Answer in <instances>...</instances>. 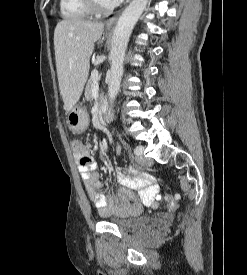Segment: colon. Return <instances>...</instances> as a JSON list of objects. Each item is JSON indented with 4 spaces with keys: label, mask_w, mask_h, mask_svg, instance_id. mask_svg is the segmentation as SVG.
<instances>
[{
    "label": "colon",
    "mask_w": 247,
    "mask_h": 275,
    "mask_svg": "<svg viewBox=\"0 0 247 275\" xmlns=\"http://www.w3.org/2000/svg\"><path fill=\"white\" fill-rule=\"evenodd\" d=\"M71 147L75 154H77L79 157H81L82 160L85 159L86 149H85L84 144L81 141L73 140L71 142ZM120 194L122 196L128 198L129 200L136 199L135 193L130 188L122 187L120 189ZM164 201L170 210H176L179 206V195L178 194H165Z\"/></svg>",
    "instance_id": "obj_1"
}]
</instances>
